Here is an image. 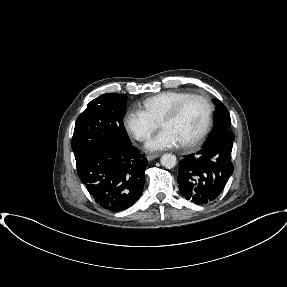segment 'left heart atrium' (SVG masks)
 <instances>
[{
  "instance_id": "obj_1",
  "label": "left heart atrium",
  "mask_w": 287,
  "mask_h": 287,
  "mask_svg": "<svg viewBox=\"0 0 287 287\" xmlns=\"http://www.w3.org/2000/svg\"><path fill=\"white\" fill-rule=\"evenodd\" d=\"M181 144L179 137L170 129H162L154 135L146 144L149 150H163L176 147Z\"/></svg>"
}]
</instances>
